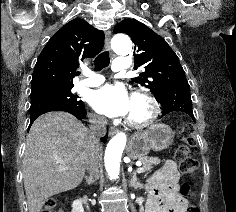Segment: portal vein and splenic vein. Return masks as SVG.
<instances>
[{"mask_svg": "<svg viewBox=\"0 0 236 212\" xmlns=\"http://www.w3.org/2000/svg\"><path fill=\"white\" fill-rule=\"evenodd\" d=\"M137 166H138V168H137V173H142V167H141V163H137L136 164ZM68 169V167H65V166H62V167H60V171H65V170H67Z\"/></svg>", "mask_w": 236, "mask_h": 212, "instance_id": "1", "label": "portal vein and splenic vein"}]
</instances>
